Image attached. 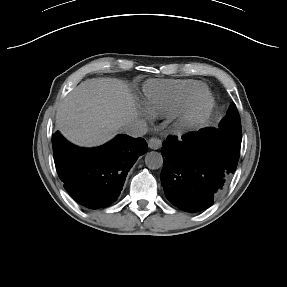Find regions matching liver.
Here are the masks:
<instances>
[{
  "instance_id": "6515ba94",
  "label": "liver",
  "mask_w": 287,
  "mask_h": 287,
  "mask_svg": "<svg viewBox=\"0 0 287 287\" xmlns=\"http://www.w3.org/2000/svg\"><path fill=\"white\" fill-rule=\"evenodd\" d=\"M137 116L126 84L116 78H92L61 102L56 112V128L78 146L96 147L114 138Z\"/></svg>"
}]
</instances>
